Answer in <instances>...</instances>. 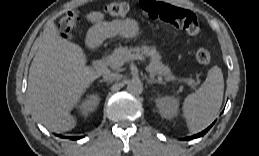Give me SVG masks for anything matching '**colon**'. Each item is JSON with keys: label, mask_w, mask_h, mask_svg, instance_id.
Masks as SVG:
<instances>
[{"label": "colon", "mask_w": 259, "mask_h": 156, "mask_svg": "<svg viewBox=\"0 0 259 156\" xmlns=\"http://www.w3.org/2000/svg\"><path fill=\"white\" fill-rule=\"evenodd\" d=\"M141 5L151 19H159L170 23L190 35H197L199 32L198 19L190 10L152 0H143ZM103 9L108 15L114 17H124L130 12V6L125 2H111L106 4ZM79 19L80 16L77 11L67 12L59 22L61 35L65 38L71 37ZM196 60L202 65H208L211 61L210 52L205 48L198 49Z\"/></svg>", "instance_id": "5ec220e1"}]
</instances>
